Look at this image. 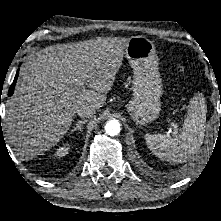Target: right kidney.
Segmentation results:
<instances>
[{
  "instance_id": "1",
  "label": "right kidney",
  "mask_w": 221,
  "mask_h": 221,
  "mask_svg": "<svg viewBox=\"0 0 221 221\" xmlns=\"http://www.w3.org/2000/svg\"><path fill=\"white\" fill-rule=\"evenodd\" d=\"M68 151H69V147L60 146L59 148L56 149V152L54 155H55V157L61 158V157H64L65 155H67Z\"/></svg>"
}]
</instances>
